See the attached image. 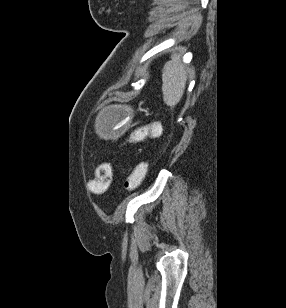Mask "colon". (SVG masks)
Segmentation results:
<instances>
[{"mask_svg": "<svg viewBox=\"0 0 286 308\" xmlns=\"http://www.w3.org/2000/svg\"><path fill=\"white\" fill-rule=\"evenodd\" d=\"M159 123H149L147 126L138 127L128 136V142L138 143L150 136H156L160 133ZM148 170L147 161L137 163L124 181L126 191L136 190L143 182ZM113 176V166L110 162H102L98 165L94 179L88 182V188L95 193H103L111 185Z\"/></svg>", "mask_w": 286, "mask_h": 308, "instance_id": "obj_1", "label": "colon"}]
</instances>
